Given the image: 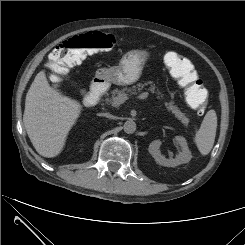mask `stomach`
Masks as SVG:
<instances>
[{
	"label": "stomach",
	"mask_w": 245,
	"mask_h": 245,
	"mask_svg": "<svg viewBox=\"0 0 245 245\" xmlns=\"http://www.w3.org/2000/svg\"><path fill=\"white\" fill-rule=\"evenodd\" d=\"M149 57L150 54L146 50H130L123 54L119 66L100 68L95 77L116 85L132 84L140 78Z\"/></svg>",
	"instance_id": "stomach-1"
}]
</instances>
